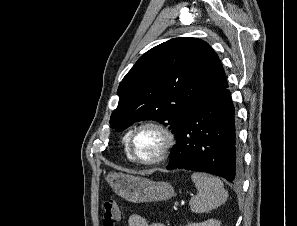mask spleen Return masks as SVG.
I'll list each match as a JSON object with an SVG mask.
<instances>
[{
	"mask_svg": "<svg viewBox=\"0 0 297 226\" xmlns=\"http://www.w3.org/2000/svg\"><path fill=\"white\" fill-rule=\"evenodd\" d=\"M198 194L191 198L189 205L194 213L209 212L226 202L228 192L222 181L206 173L195 172L191 175Z\"/></svg>",
	"mask_w": 297,
	"mask_h": 226,
	"instance_id": "spleen-1",
	"label": "spleen"
}]
</instances>
